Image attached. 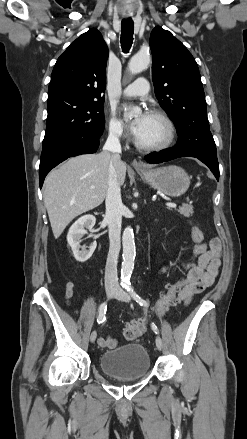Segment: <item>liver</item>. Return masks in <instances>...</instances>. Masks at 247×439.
Returning a JSON list of instances; mask_svg holds the SVG:
<instances>
[{"label":"liver","mask_w":247,"mask_h":439,"mask_svg":"<svg viewBox=\"0 0 247 439\" xmlns=\"http://www.w3.org/2000/svg\"><path fill=\"white\" fill-rule=\"evenodd\" d=\"M112 153L85 154L68 159L51 171L44 182V204L54 237L57 239L77 216L99 206L108 190V165ZM126 164L117 165V179L122 185ZM94 189H91V187Z\"/></svg>","instance_id":"liver-1"}]
</instances>
